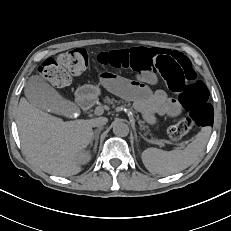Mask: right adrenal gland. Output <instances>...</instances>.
I'll return each mask as SVG.
<instances>
[{
  "label": "right adrenal gland",
  "instance_id": "1",
  "mask_svg": "<svg viewBox=\"0 0 231 231\" xmlns=\"http://www.w3.org/2000/svg\"><path fill=\"white\" fill-rule=\"evenodd\" d=\"M101 130H102V128H99V129L95 130V132H94L93 138H92L91 143H90V145L93 146V141H95L93 151H95L97 149L99 133L101 132Z\"/></svg>",
  "mask_w": 231,
  "mask_h": 231
}]
</instances>
